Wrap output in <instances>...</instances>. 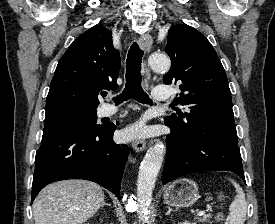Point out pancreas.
Returning <instances> with one entry per match:
<instances>
[{
    "instance_id": "1",
    "label": "pancreas",
    "mask_w": 275,
    "mask_h": 224,
    "mask_svg": "<svg viewBox=\"0 0 275 224\" xmlns=\"http://www.w3.org/2000/svg\"><path fill=\"white\" fill-rule=\"evenodd\" d=\"M210 218H211V215H204L203 217L197 218V220H198L199 222H202V223L212 224V223L210 222Z\"/></svg>"
}]
</instances>
